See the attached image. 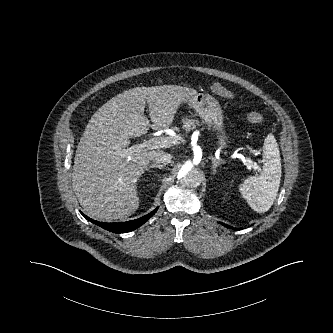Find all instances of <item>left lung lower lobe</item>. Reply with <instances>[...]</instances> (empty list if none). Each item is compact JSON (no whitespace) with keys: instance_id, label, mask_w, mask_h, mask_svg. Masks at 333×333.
Masks as SVG:
<instances>
[{"instance_id":"1","label":"left lung lower lobe","mask_w":333,"mask_h":333,"mask_svg":"<svg viewBox=\"0 0 333 333\" xmlns=\"http://www.w3.org/2000/svg\"><path fill=\"white\" fill-rule=\"evenodd\" d=\"M220 224H223V223H220ZM223 225H224V224H223ZM226 227L231 228V226H228V225H226Z\"/></svg>"}]
</instances>
